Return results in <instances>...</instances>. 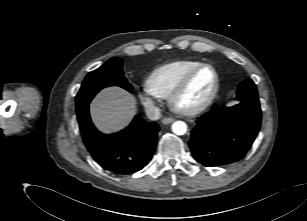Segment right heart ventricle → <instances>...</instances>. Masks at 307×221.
Segmentation results:
<instances>
[{
	"instance_id": "obj_1",
	"label": "right heart ventricle",
	"mask_w": 307,
	"mask_h": 221,
	"mask_svg": "<svg viewBox=\"0 0 307 221\" xmlns=\"http://www.w3.org/2000/svg\"><path fill=\"white\" fill-rule=\"evenodd\" d=\"M202 64L195 60H181L159 66L147 76L146 92L155 98L167 99L181 81Z\"/></svg>"
}]
</instances>
